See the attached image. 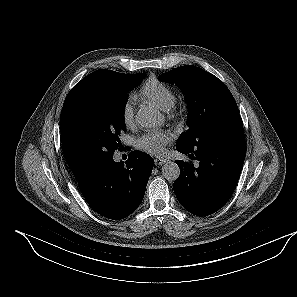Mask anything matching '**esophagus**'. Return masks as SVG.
<instances>
[{
  "instance_id": "obj_1",
  "label": "esophagus",
  "mask_w": 297,
  "mask_h": 297,
  "mask_svg": "<svg viewBox=\"0 0 297 297\" xmlns=\"http://www.w3.org/2000/svg\"><path fill=\"white\" fill-rule=\"evenodd\" d=\"M166 161H167V160H166L165 158H155V159H154V163H155L156 166H158V165H162V164H164Z\"/></svg>"
}]
</instances>
